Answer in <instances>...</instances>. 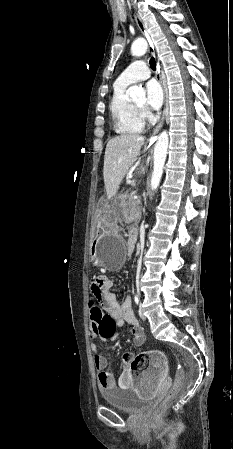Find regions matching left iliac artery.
<instances>
[{"mask_svg":"<svg viewBox=\"0 0 233 449\" xmlns=\"http://www.w3.org/2000/svg\"><path fill=\"white\" fill-rule=\"evenodd\" d=\"M135 302L138 304L139 303V299H138V296L137 295H135Z\"/></svg>","mask_w":233,"mask_h":449,"instance_id":"1","label":"left iliac artery"}]
</instances>
